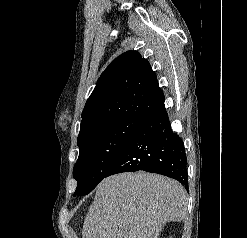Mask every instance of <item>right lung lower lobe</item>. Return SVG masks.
<instances>
[{
    "instance_id": "obj_1",
    "label": "right lung lower lobe",
    "mask_w": 247,
    "mask_h": 238,
    "mask_svg": "<svg viewBox=\"0 0 247 238\" xmlns=\"http://www.w3.org/2000/svg\"><path fill=\"white\" fill-rule=\"evenodd\" d=\"M139 170L162 174L178 180L185 188L188 186L184 146L172 131L165 108L146 119L105 177Z\"/></svg>"
}]
</instances>
